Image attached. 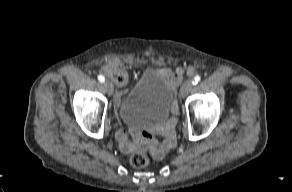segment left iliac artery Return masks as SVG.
I'll list each match as a JSON object with an SVG mask.
<instances>
[{
  "mask_svg": "<svg viewBox=\"0 0 292 192\" xmlns=\"http://www.w3.org/2000/svg\"><path fill=\"white\" fill-rule=\"evenodd\" d=\"M200 76L199 75H196L194 78H193V80H192V84L193 85H196L199 81H200Z\"/></svg>",
  "mask_w": 292,
  "mask_h": 192,
  "instance_id": "1",
  "label": "left iliac artery"
}]
</instances>
